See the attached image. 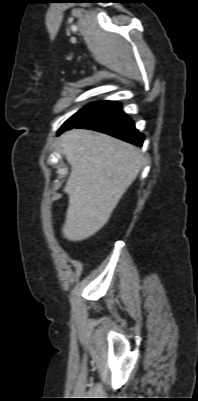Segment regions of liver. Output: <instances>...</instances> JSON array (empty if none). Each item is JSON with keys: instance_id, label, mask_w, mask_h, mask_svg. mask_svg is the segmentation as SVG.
I'll return each mask as SVG.
<instances>
[{"instance_id": "6515ba94", "label": "liver", "mask_w": 198, "mask_h": 401, "mask_svg": "<svg viewBox=\"0 0 198 401\" xmlns=\"http://www.w3.org/2000/svg\"><path fill=\"white\" fill-rule=\"evenodd\" d=\"M60 142L71 166L64 187L69 205L62 233L70 241H82L107 223L145 158L132 144L84 129L64 133Z\"/></svg>"}]
</instances>
